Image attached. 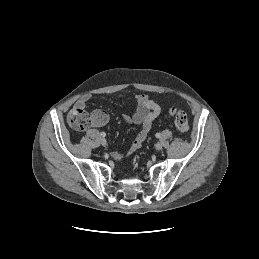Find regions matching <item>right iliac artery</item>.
Masks as SVG:
<instances>
[{
  "instance_id": "right-iliac-artery-1",
  "label": "right iliac artery",
  "mask_w": 259,
  "mask_h": 259,
  "mask_svg": "<svg viewBox=\"0 0 259 259\" xmlns=\"http://www.w3.org/2000/svg\"><path fill=\"white\" fill-rule=\"evenodd\" d=\"M102 137H105L106 136V133L105 132H101L100 134Z\"/></svg>"
}]
</instances>
